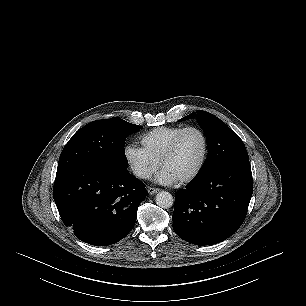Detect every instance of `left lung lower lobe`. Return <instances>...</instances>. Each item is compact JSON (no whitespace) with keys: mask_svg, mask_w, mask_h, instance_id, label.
Masks as SVG:
<instances>
[{"mask_svg":"<svg viewBox=\"0 0 306 306\" xmlns=\"http://www.w3.org/2000/svg\"><path fill=\"white\" fill-rule=\"evenodd\" d=\"M253 192L249 161L198 174L175 194L173 229L195 245L224 241L242 225Z\"/></svg>","mask_w":306,"mask_h":306,"instance_id":"obj_1","label":"left lung lower lobe"}]
</instances>
